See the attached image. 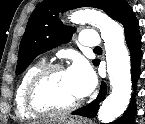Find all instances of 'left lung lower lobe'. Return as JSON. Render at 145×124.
Masks as SVG:
<instances>
[{
    "label": "left lung lower lobe",
    "mask_w": 145,
    "mask_h": 124,
    "mask_svg": "<svg viewBox=\"0 0 145 124\" xmlns=\"http://www.w3.org/2000/svg\"><path fill=\"white\" fill-rule=\"evenodd\" d=\"M117 21L124 26L125 39L131 53L132 80L133 87L135 89L137 79L140 75V62L142 58L139 23L134 15L132 8H128L127 10H125ZM96 65H98V63ZM106 92V85L105 83H102L97 98L89 105L77 109L72 114L81 115L89 118L95 117L97 111L99 110V104L103 101V99L106 96ZM135 114L136 104L133 98L125 114L118 120L112 122L111 124H134Z\"/></svg>",
    "instance_id": "left-lung-lower-lobe-1"
}]
</instances>
